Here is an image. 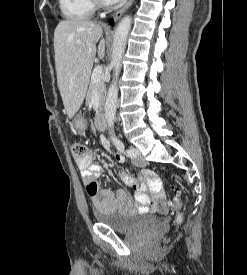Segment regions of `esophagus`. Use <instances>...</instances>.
I'll list each match as a JSON object with an SVG mask.
<instances>
[{
	"label": "esophagus",
	"instance_id": "obj_1",
	"mask_svg": "<svg viewBox=\"0 0 247 275\" xmlns=\"http://www.w3.org/2000/svg\"><path fill=\"white\" fill-rule=\"evenodd\" d=\"M134 2V0H128V2L118 11L115 12L113 18L115 20L119 19L123 13L132 5V3Z\"/></svg>",
	"mask_w": 247,
	"mask_h": 275
}]
</instances>
